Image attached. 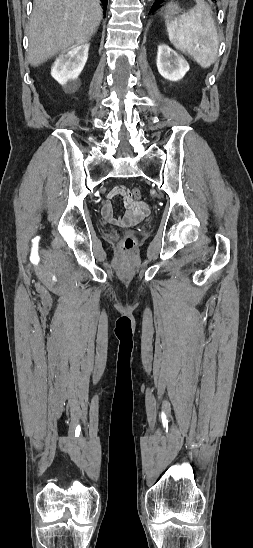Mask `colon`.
Masks as SVG:
<instances>
[{
    "mask_svg": "<svg viewBox=\"0 0 253 548\" xmlns=\"http://www.w3.org/2000/svg\"><path fill=\"white\" fill-rule=\"evenodd\" d=\"M130 194L135 201H139L142 197L141 191L138 188L132 189ZM120 247L123 251L127 253L133 251L135 247V239L131 236H126L121 240Z\"/></svg>",
    "mask_w": 253,
    "mask_h": 548,
    "instance_id": "1",
    "label": "colon"
}]
</instances>
